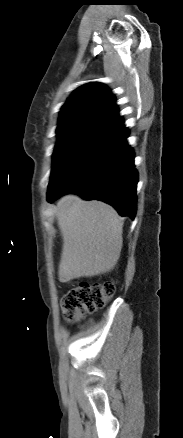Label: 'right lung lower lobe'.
I'll use <instances>...</instances> for the list:
<instances>
[{
  "mask_svg": "<svg viewBox=\"0 0 183 438\" xmlns=\"http://www.w3.org/2000/svg\"><path fill=\"white\" fill-rule=\"evenodd\" d=\"M123 123L117 118L95 133L49 183L48 202L65 193H77L87 200L104 201L121 216L134 219L138 173Z\"/></svg>",
  "mask_w": 183,
  "mask_h": 438,
  "instance_id": "right-lung-lower-lobe-1",
  "label": "right lung lower lobe"
}]
</instances>
